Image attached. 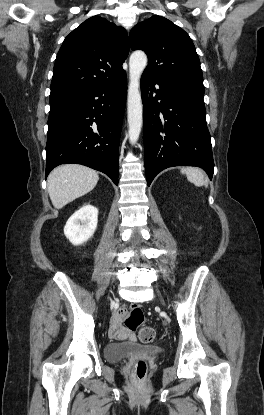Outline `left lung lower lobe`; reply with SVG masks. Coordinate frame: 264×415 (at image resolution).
Listing matches in <instances>:
<instances>
[{
  "label": "left lung lower lobe",
  "mask_w": 264,
  "mask_h": 415,
  "mask_svg": "<svg viewBox=\"0 0 264 415\" xmlns=\"http://www.w3.org/2000/svg\"><path fill=\"white\" fill-rule=\"evenodd\" d=\"M140 85L147 184L173 166L201 167L211 179L214 162L204 87L165 82L145 73Z\"/></svg>",
  "instance_id": "0a47b994"
}]
</instances>
